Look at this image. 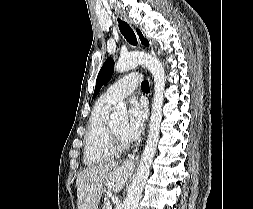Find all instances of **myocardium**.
I'll list each match as a JSON object with an SVG mask.
<instances>
[{"label": "myocardium", "mask_w": 253, "mask_h": 209, "mask_svg": "<svg viewBox=\"0 0 253 209\" xmlns=\"http://www.w3.org/2000/svg\"><path fill=\"white\" fill-rule=\"evenodd\" d=\"M108 133L110 137L111 146L116 152H124L129 149L130 145L127 142L120 139L111 126H108Z\"/></svg>", "instance_id": "1"}]
</instances>
